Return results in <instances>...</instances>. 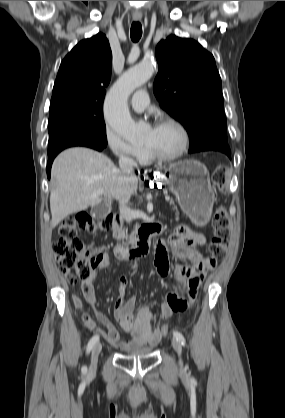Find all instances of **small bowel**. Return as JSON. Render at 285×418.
<instances>
[{
  "mask_svg": "<svg viewBox=\"0 0 285 418\" xmlns=\"http://www.w3.org/2000/svg\"><path fill=\"white\" fill-rule=\"evenodd\" d=\"M202 238L190 231L177 232L169 236L163 244L173 254L183 259L194 262L190 266H171L168 258L163 261L155 260L156 271L159 276L167 277L171 272L174 274V290L167 295L164 303L161 304L159 315L162 319L170 318L174 313L185 310L191 301L196 299L198 290L206 275V263L209 259L203 258L197 251L192 249L191 244L201 242ZM110 265V259L105 257L95 266L88 278L82 281V296H73L75 307L83 311L88 304L96 320L105 328L97 329L95 321L83 313V324L86 329L100 334L108 343L123 351H130L132 348H140L157 344L163 336L158 335L152 327V313L149 307L144 306L135 314V298L127 297V279L123 275L118 276L119 298L113 306V313L119 321L121 328L131 334V339L122 341L119 338L118 330L112 320L95 306L96 295L93 287L94 281L100 272ZM74 278L69 277V282ZM187 293L188 300L182 298Z\"/></svg>",
  "mask_w": 285,
  "mask_h": 418,
  "instance_id": "1",
  "label": "small bowel"
}]
</instances>
